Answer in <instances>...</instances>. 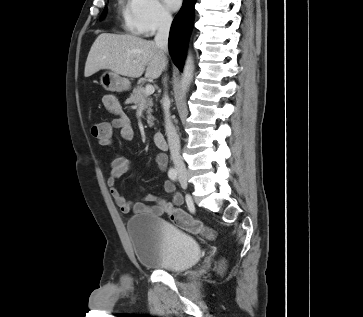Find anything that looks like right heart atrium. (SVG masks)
<instances>
[{
  "label": "right heart atrium",
  "mask_w": 363,
  "mask_h": 317,
  "mask_svg": "<svg viewBox=\"0 0 363 317\" xmlns=\"http://www.w3.org/2000/svg\"><path fill=\"white\" fill-rule=\"evenodd\" d=\"M129 12L132 30L142 36H151L167 28L172 17L159 0H130Z\"/></svg>",
  "instance_id": "right-heart-atrium-1"
}]
</instances>
